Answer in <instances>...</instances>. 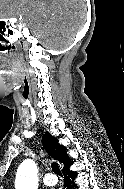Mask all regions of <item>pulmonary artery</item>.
<instances>
[{
	"label": "pulmonary artery",
	"mask_w": 124,
	"mask_h": 189,
	"mask_svg": "<svg viewBox=\"0 0 124 189\" xmlns=\"http://www.w3.org/2000/svg\"><path fill=\"white\" fill-rule=\"evenodd\" d=\"M43 183L47 186H54L58 183V179L52 173H48L43 177Z\"/></svg>",
	"instance_id": "e3ab8cb5"
}]
</instances>
